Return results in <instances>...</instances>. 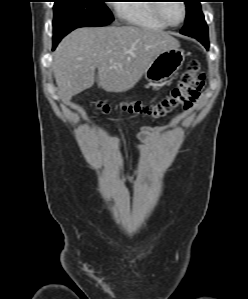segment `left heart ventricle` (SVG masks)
Masks as SVG:
<instances>
[{
  "label": "left heart ventricle",
  "mask_w": 248,
  "mask_h": 299,
  "mask_svg": "<svg viewBox=\"0 0 248 299\" xmlns=\"http://www.w3.org/2000/svg\"><path fill=\"white\" fill-rule=\"evenodd\" d=\"M162 11L165 17L172 23H177L182 18V7L179 1L165 3Z\"/></svg>",
  "instance_id": "left-heart-ventricle-1"
}]
</instances>
